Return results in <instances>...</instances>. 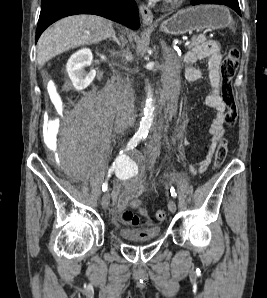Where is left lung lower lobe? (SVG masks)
<instances>
[{
	"mask_svg": "<svg viewBox=\"0 0 267 298\" xmlns=\"http://www.w3.org/2000/svg\"><path fill=\"white\" fill-rule=\"evenodd\" d=\"M192 5H198V4H221L231 7L233 10H235L240 16V8L238 0H192Z\"/></svg>",
	"mask_w": 267,
	"mask_h": 298,
	"instance_id": "1",
	"label": "left lung lower lobe"
}]
</instances>
